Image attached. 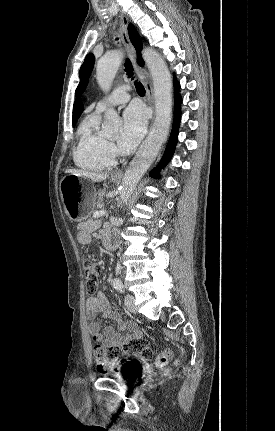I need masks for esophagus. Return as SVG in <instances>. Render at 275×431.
<instances>
[{
  "mask_svg": "<svg viewBox=\"0 0 275 431\" xmlns=\"http://www.w3.org/2000/svg\"><path fill=\"white\" fill-rule=\"evenodd\" d=\"M128 25H129V19L121 14L120 15V35H121V39L122 42L128 52V55L133 63L134 69L138 75V77L140 78V80L142 81L145 90H146V101L149 104V106L151 107V109L154 112V90H153V85H152V81H151V77L149 76L147 70L144 67H141L138 65L137 60H136V52L135 49L129 39V34H128ZM115 176H122L123 172L122 171H115L114 172Z\"/></svg>",
  "mask_w": 275,
  "mask_h": 431,
  "instance_id": "1",
  "label": "esophagus"
}]
</instances>
